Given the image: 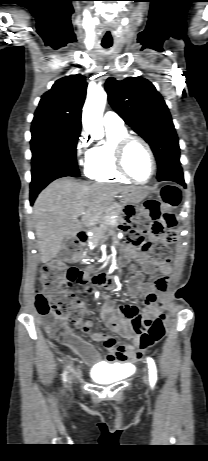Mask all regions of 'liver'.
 Instances as JSON below:
<instances>
[{
	"mask_svg": "<svg viewBox=\"0 0 208 461\" xmlns=\"http://www.w3.org/2000/svg\"><path fill=\"white\" fill-rule=\"evenodd\" d=\"M135 189L114 184H88L71 178L52 182L38 195L33 208L41 262L47 263L58 255L64 238L73 237L84 227L99 221L117 194Z\"/></svg>",
	"mask_w": 208,
	"mask_h": 461,
	"instance_id": "6515ba94",
	"label": "liver"
}]
</instances>
